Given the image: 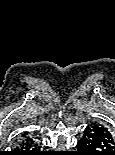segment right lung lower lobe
<instances>
[{
    "label": "right lung lower lobe",
    "mask_w": 115,
    "mask_h": 155,
    "mask_svg": "<svg viewBox=\"0 0 115 155\" xmlns=\"http://www.w3.org/2000/svg\"><path fill=\"white\" fill-rule=\"evenodd\" d=\"M14 155H46V152L41 150L39 142L24 134L16 144Z\"/></svg>",
    "instance_id": "98d812e1"
}]
</instances>
